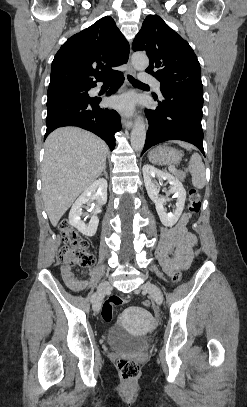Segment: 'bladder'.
<instances>
[{"mask_svg": "<svg viewBox=\"0 0 247 407\" xmlns=\"http://www.w3.org/2000/svg\"><path fill=\"white\" fill-rule=\"evenodd\" d=\"M108 344L119 350H139L149 344L150 336L147 334H135L121 323L111 325L106 331Z\"/></svg>", "mask_w": 247, "mask_h": 407, "instance_id": "1", "label": "bladder"}]
</instances>
